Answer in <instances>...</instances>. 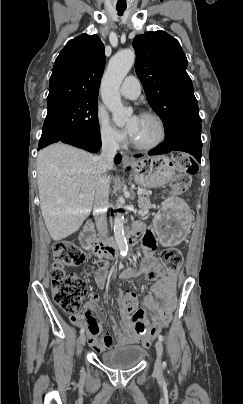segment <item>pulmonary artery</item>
Returning a JSON list of instances; mask_svg holds the SVG:
<instances>
[{
	"instance_id": "e3ab8cb5",
	"label": "pulmonary artery",
	"mask_w": 243,
	"mask_h": 404,
	"mask_svg": "<svg viewBox=\"0 0 243 404\" xmlns=\"http://www.w3.org/2000/svg\"><path fill=\"white\" fill-rule=\"evenodd\" d=\"M120 93L128 99L137 98L141 93V82L139 78L134 75H128L123 80Z\"/></svg>"
}]
</instances>
